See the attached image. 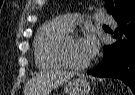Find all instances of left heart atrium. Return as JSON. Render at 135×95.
<instances>
[{"instance_id":"39dd6f15","label":"left heart atrium","mask_w":135,"mask_h":95,"mask_svg":"<svg viewBox=\"0 0 135 95\" xmlns=\"http://www.w3.org/2000/svg\"><path fill=\"white\" fill-rule=\"evenodd\" d=\"M80 45L86 60L92 59L98 50L97 39L92 34H87L80 39Z\"/></svg>"}]
</instances>
